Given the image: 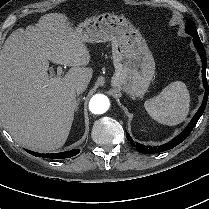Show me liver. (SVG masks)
Instances as JSON below:
<instances>
[{
	"label": "liver",
	"mask_w": 209,
	"mask_h": 209,
	"mask_svg": "<svg viewBox=\"0 0 209 209\" xmlns=\"http://www.w3.org/2000/svg\"><path fill=\"white\" fill-rule=\"evenodd\" d=\"M70 24L65 14H45L35 26L13 31L0 52V122L28 148L64 145L74 120L75 86L92 78L89 50ZM49 61L72 68L54 81Z\"/></svg>",
	"instance_id": "obj_1"
}]
</instances>
